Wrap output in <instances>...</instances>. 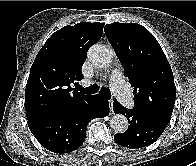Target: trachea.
Instances as JSON below:
<instances>
[{
  "mask_svg": "<svg viewBox=\"0 0 196 166\" xmlns=\"http://www.w3.org/2000/svg\"><path fill=\"white\" fill-rule=\"evenodd\" d=\"M76 89L78 91H81L83 93H86V94H94V93H97L98 92V86L97 85H91L89 87H86V88H83L81 87L80 85H77L76 86ZM101 94L107 98V99H110L111 98V93L109 91V88H106V87H102L101 90H100Z\"/></svg>",
  "mask_w": 196,
  "mask_h": 166,
  "instance_id": "3493384b",
  "label": "trachea"
}]
</instances>
